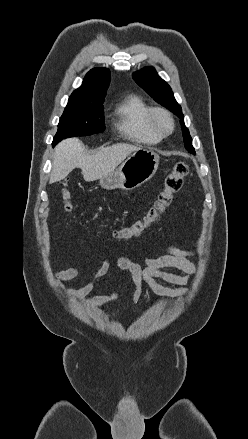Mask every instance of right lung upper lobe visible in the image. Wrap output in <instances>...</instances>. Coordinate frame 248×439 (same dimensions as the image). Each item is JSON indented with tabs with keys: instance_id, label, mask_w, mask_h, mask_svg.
<instances>
[{
	"instance_id": "cb5924a9",
	"label": "right lung upper lobe",
	"mask_w": 248,
	"mask_h": 439,
	"mask_svg": "<svg viewBox=\"0 0 248 439\" xmlns=\"http://www.w3.org/2000/svg\"><path fill=\"white\" fill-rule=\"evenodd\" d=\"M109 82L110 72L108 69H91L86 74L81 87L76 89L69 97V102H103Z\"/></svg>"
}]
</instances>
